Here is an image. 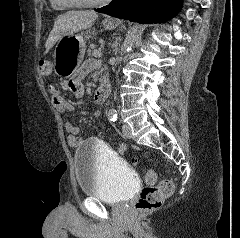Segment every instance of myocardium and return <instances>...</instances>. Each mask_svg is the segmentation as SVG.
Returning a JSON list of instances; mask_svg holds the SVG:
<instances>
[{"label":"myocardium","mask_w":240,"mask_h":238,"mask_svg":"<svg viewBox=\"0 0 240 238\" xmlns=\"http://www.w3.org/2000/svg\"><path fill=\"white\" fill-rule=\"evenodd\" d=\"M112 0H98L95 2L91 3H82V2H75V1H68V4L72 7H79V8H94V7H99L103 6Z\"/></svg>","instance_id":"myocardium-1"}]
</instances>
